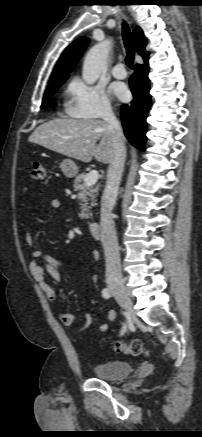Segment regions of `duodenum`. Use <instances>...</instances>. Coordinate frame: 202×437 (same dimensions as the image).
Listing matches in <instances>:
<instances>
[{
    "mask_svg": "<svg viewBox=\"0 0 202 437\" xmlns=\"http://www.w3.org/2000/svg\"><path fill=\"white\" fill-rule=\"evenodd\" d=\"M89 229V233L90 235L97 239L100 237V233H101V226L98 222H91L88 226Z\"/></svg>",
    "mask_w": 202,
    "mask_h": 437,
    "instance_id": "1",
    "label": "duodenum"
}]
</instances>
